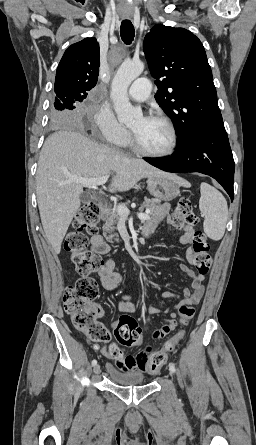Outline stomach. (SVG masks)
<instances>
[{
  "instance_id": "obj_1",
  "label": "stomach",
  "mask_w": 256,
  "mask_h": 445,
  "mask_svg": "<svg viewBox=\"0 0 256 445\" xmlns=\"http://www.w3.org/2000/svg\"><path fill=\"white\" fill-rule=\"evenodd\" d=\"M147 188L150 194L159 200L171 201L180 195L177 182L170 176L150 177Z\"/></svg>"
}]
</instances>
